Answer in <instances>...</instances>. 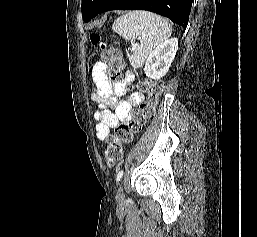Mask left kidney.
<instances>
[{"label": "left kidney", "mask_w": 257, "mask_h": 237, "mask_svg": "<svg viewBox=\"0 0 257 237\" xmlns=\"http://www.w3.org/2000/svg\"><path fill=\"white\" fill-rule=\"evenodd\" d=\"M177 50V38L166 40L160 44L148 57L144 67L146 76L158 80L166 75Z\"/></svg>", "instance_id": "left-kidney-1"}]
</instances>
